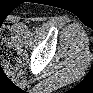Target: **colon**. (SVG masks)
<instances>
[{
	"instance_id": "obj_1",
	"label": "colon",
	"mask_w": 93,
	"mask_h": 93,
	"mask_svg": "<svg viewBox=\"0 0 93 93\" xmlns=\"http://www.w3.org/2000/svg\"><path fill=\"white\" fill-rule=\"evenodd\" d=\"M15 25H17V23L14 22V27H15Z\"/></svg>"
}]
</instances>
